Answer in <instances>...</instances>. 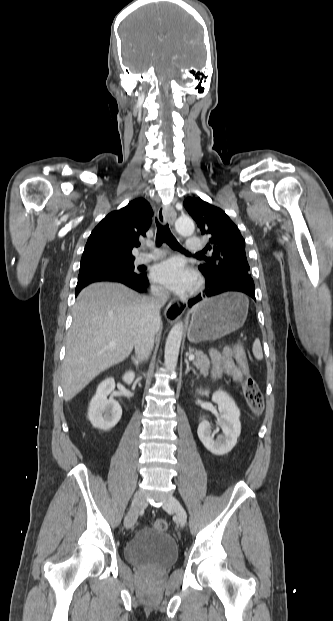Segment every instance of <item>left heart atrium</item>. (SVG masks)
<instances>
[{"label": "left heart atrium", "mask_w": 333, "mask_h": 621, "mask_svg": "<svg viewBox=\"0 0 333 621\" xmlns=\"http://www.w3.org/2000/svg\"><path fill=\"white\" fill-rule=\"evenodd\" d=\"M151 278L163 288L177 293L189 291L196 284L195 274L179 259H168L155 265Z\"/></svg>", "instance_id": "obj_1"}]
</instances>
